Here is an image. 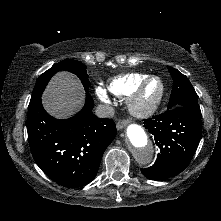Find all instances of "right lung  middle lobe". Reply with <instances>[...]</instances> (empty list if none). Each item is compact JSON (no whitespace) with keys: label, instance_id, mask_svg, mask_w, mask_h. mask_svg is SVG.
I'll return each mask as SVG.
<instances>
[{"label":"right lung middle lobe","instance_id":"dd1d6c3e","mask_svg":"<svg viewBox=\"0 0 221 221\" xmlns=\"http://www.w3.org/2000/svg\"><path fill=\"white\" fill-rule=\"evenodd\" d=\"M69 71L74 74H76L79 79L81 80L85 91H88L89 89V79H88V74L86 71V66L82 64L81 62H78L73 59H65L57 64H55L53 67H51L49 70L44 72L38 80L36 81L31 100L29 103V107L33 106L36 101L41 97L43 90L45 89L48 81L50 78L58 71Z\"/></svg>","mask_w":221,"mask_h":221}]
</instances>
